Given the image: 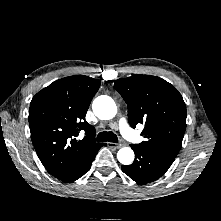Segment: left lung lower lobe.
Returning a JSON list of instances; mask_svg holds the SVG:
<instances>
[{
	"label": "left lung lower lobe",
	"instance_id": "left-lung-lower-lobe-1",
	"mask_svg": "<svg viewBox=\"0 0 221 221\" xmlns=\"http://www.w3.org/2000/svg\"><path fill=\"white\" fill-rule=\"evenodd\" d=\"M135 153L131 165H123L122 171L139 184L153 182L160 178L171 166L175 157L141 147L130 145Z\"/></svg>",
	"mask_w": 221,
	"mask_h": 221
}]
</instances>
